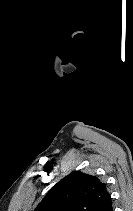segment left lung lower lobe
<instances>
[{"label": "left lung lower lobe", "mask_w": 133, "mask_h": 211, "mask_svg": "<svg viewBox=\"0 0 133 211\" xmlns=\"http://www.w3.org/2000/svg\"><path fill=\"white\" fill-rule=\"evenodd\" d=\"M95 211H113L111 197L109 196Z\"/></svg>", "instance_id": "0a47b994"}]
</instances>
